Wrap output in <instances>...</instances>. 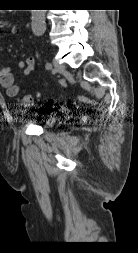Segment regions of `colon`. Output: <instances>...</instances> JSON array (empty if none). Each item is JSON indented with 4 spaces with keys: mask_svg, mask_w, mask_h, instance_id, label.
Here are the masks:
<instances>
[{
    "mask_svg": "<svg viewBox=\"0 0 138 253\" xmlns=\"http://www.w3.org/2000/svg\"><path fill=\"white\" fill-rule=\"evenodd\" d=\"M39 95L35 96L32 94H26L21 97V103L24 106H33L36 102V99Z\"/></svg>",
    "mask_w": 138,
    "mask_h": 253,
    "instance_id": "5ec220e1",
    "label": "colon"
}]
</instances>
